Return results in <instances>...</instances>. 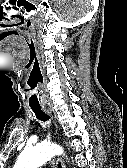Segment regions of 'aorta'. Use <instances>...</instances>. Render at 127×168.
I'll return each mask as SVG.
<instances>
[{
    "label": "aorta",
    "mask_w": 127,
    "mask_h": 168,
    "mask_svg": "<svg viewBox=\"0 0 127 168\" xmlns=\"http://www.w3.org/2000/svg\"><path fill=\"white\" fill-rule=\"evenodd\" d=\"M63 150L53 144L40 143L34 147H26L20 154L14 168H38L52 157L62 154Z\"/></svg>",
    "instance_id": "762f6f07"
}]
</instances>
